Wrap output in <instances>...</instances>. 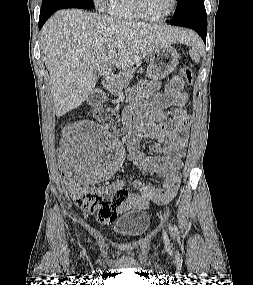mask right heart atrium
Wrapping results in <instances>:
<instances>
[{
	"label": "right heart atrium",
	"instance_id": "obj_1",
	"mask_svg": "<svg viewBox=\"0 0 253 285\" xmlns=\"http://www.w3.org/2000/svg\"><path fill=\"white\" fill-rule=\"evenodd\" d=\"M97 7L104 8L106 6L107 0H93Z\"/></svg>",
	"mask_w": 253,
	"mask_h": 285
}]
</instances>
